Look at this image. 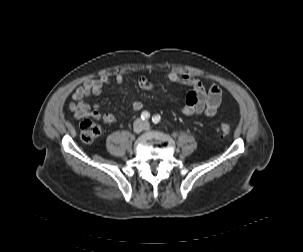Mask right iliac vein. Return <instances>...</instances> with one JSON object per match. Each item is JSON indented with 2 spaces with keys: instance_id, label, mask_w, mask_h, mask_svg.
<instances>
[{
  "instance_id": "obj_1",
  "label": "right iliac vein",
  "mask_w": 303,
  "mask_h": 252,
  "mask_svg": "<svg viewBox=\"0 0 303 252\" xmlns=\"http://www.w3.org/2000/svg\"><path fill=\"white\" fill-rule=\"evenodd\" d=\"M144 129V125L143 123L139 120V121H136L133 125V131L135 133H140L142 130Z\"/></svg>"
}]
</instances>
